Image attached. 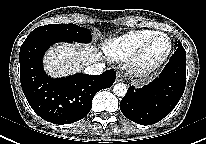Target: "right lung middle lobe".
Returning <instances> with one entry per match:
<instances>
[{
  "label": "right lung middle lobe",
  "mask_w": 206,
  "mask_h": 144,
  "mask_svg": "<svg viewBox=\"0 0 206 144\" xmlns=\"http://www.w3.org/2000/svg\"><path fill=\"white\" fill-rule=\"evenodd\" d=\"M43 35L49 38L68 41L88 43L91 41V32L87 28L76 24H50L34 29L29 36Z\"/></svg>",
  "instance_id": "1"
}]
</instances>
